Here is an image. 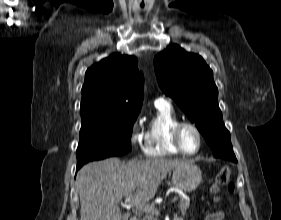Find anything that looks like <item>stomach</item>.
<instances>
[{"instance_id":"obj_1","label":"stomach","mask_w":281,"mask_h":220,"mask_svg":"<svg viewBox=\"0 0 281 220\" xmlns=\"http://www.w3.org/2000/svg\"><path fill=\"white\" fill-rule=\"evenodd\" d=\"M201 181L202 173L196 165L189 164L173 170V185L184 192L195 190Z\"/></svg>"}]
</instances>
